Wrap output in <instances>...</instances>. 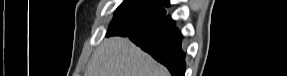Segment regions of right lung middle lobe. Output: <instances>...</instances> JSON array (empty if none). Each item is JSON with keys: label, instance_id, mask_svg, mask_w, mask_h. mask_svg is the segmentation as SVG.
<instances>
[{"label": "right lung middle lobe", "instance_id": "right-lung-middle-lobe-1", "mask_svg": "<svg viewBox=\"0 0 287 76\" xmlns=\"http://www.w3.org/2000/svg\"><path fill=\"white\" fill-rule=\"evenodd\" d=\"M163 0H125L116 10L108 35L141 33L164 18L168 6Z\"/></svg>", "mask_w": 287, "mask_h": 76}]
</instances>
